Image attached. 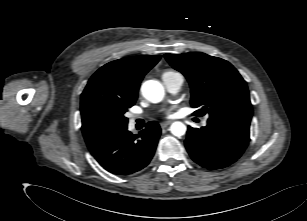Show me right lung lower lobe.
Here are the masks:
<instances>
[{
	"mask_svg": "<svg viewBox=\"0 0 307 221\" xmlns=\"http://www.w3.org/2000/svg\"><path fill=\"white\" fill-rule=\"evenodd\" d=\"M160 133L158 123L151 121L138 135H133L126 127L89 150L105 170L116 175H129L149 164Z\"/></svg>",
	"mask_w": 307,
	"mask_h": 221,
	"instance_id": "1",
	"label": "right lung lower lobe"
}]
</instances>
